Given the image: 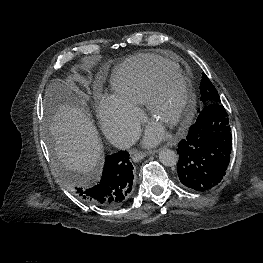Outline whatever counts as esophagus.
I'll return each instance as SVG.
<instances>
[{
  "label": "esophagus",
  "mask_w": 263,
  "mask_h": 263,
  "mask_svg": "<svg viewBox=\"0 0 263 263\" xmlns=\"http://www.w3.org/2000/svg\"><path fill=\"white\" fill-rule=\"evenodd\" d=\"M158 150H152V151H148V152H141L138 150H132L131 151V158L134 162H138L141 159H143L146 155H153L157 152Z\"/></svg>",
  "instance_id": "obj_1"
}]
</instances>
